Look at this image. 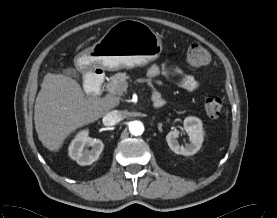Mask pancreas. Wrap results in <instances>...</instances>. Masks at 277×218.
<instances>
[{"mask_svg": "<svg viewBox=\"0 0 277 218\" xmlns=\"http://www.w3.org/2000/svg\"><path fill=\"white\" fill-rule=\"evenodd\" d=\"M129 76L125 72H119L111 76L106 88L110 94L123 95L128 87Z\"/></svg>", "mask_w": 277, "mask_h": 218, "instance_id": "obj_1", "label": "pancreas"}]
</instances>
